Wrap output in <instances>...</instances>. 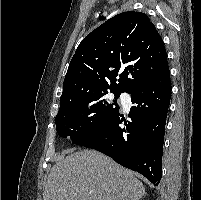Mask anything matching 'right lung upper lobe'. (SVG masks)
Returning <instances> with one entry per match:
<instances>
[{
	"mask_svg": "<svg viewBox=\"0 0 201 200\" xmlns=\"http://www.w3.org/2000/svg\"><path fill=\"white\" fill-rule=\"evenodd\" d=\"M168 70L162 38L148 16L124 12L79 44L63 82L60 103L108 89L130 93Z\"/></svg>",
	"mask_w": 201,
	"mask_h": 200,
	"instance_id": "obj_1",
	"label": "right lung upper lobe"
}]
</instances>
